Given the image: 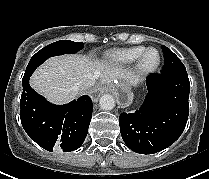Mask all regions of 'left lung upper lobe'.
Here are the masks:
<instances>
[{"mask_svg":"<svg viewBox=\"0 0 209 179\" xmlns=\"http://www.w3.org/2000/svg\"><path fill=\"white\" fill-rule=\"evenodd\" d=\"M162 50L165 62L161 73H171L179 70H185L183 63L170 49L162 46Z\"/></svg>","mask_w":209,"mask_h":179,"instance_id":"1","label":"left lung upper lobe"}]
</instances>
